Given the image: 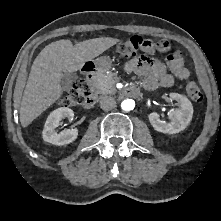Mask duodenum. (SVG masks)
<instances>
[{"instance_id": "1", "label": "duodenum", "mask_w": 221, "mask_h": 221, "mask_svg": "<svg viewBox=\"0 0 221 221\" xmlns=\"http://www.w3.org/2000/svg\"><path fill=\"white\" fill-rule=\"evenodd\" d=\"M83 70L85 73V79L91 82L97 73L96 66L93 63H87L84 66ZM138 94H139V90L136 87H131L124 92V95L127 97H134V96H137ZM95 102H96L95 96L92 94H89L85 99L84 106L86 108H90L95 104Z\"/></svg>"}]
</instances>
